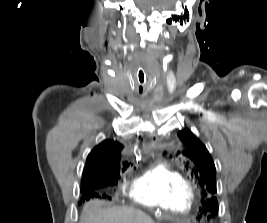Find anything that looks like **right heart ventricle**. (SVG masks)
Listing matches in <instances>:
<instances>
[{"instance_id":"right-heart-ventricle-1","label":"right heart ventricle","mask_w":267,"mask_h":223,"mask_svg":"<svg viewBox=\"0 0 267 223\" xmlns=\"http://www.w3.org/2000/svg\"><path fill=\"white\" fill-rule=\"evenodd\" d=\"M126 194L136 204L179 213L187 212L195 198L185 175L166 163L146 169L129 185Z\"/></svg>"}]
</instances>
